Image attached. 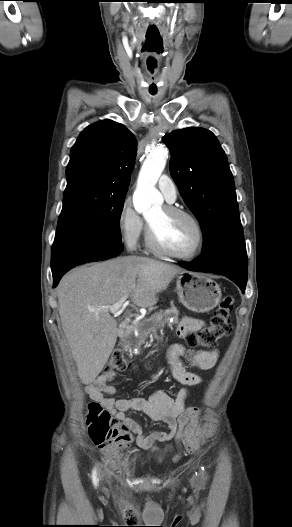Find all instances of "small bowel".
<instances>
[{
    "instance_id": "obj_1",
    "label": "small bowel",
    "mask_w": 292,
    "mask_h": 527,
    "mask_svg": "<svg viewBox=\"0 0 292 527\" xmlns=\"http://www.w3.org/2000/svg\"><path fill=\"white\" fill-rule=\"evenodd\" d=\"M204 322L193 318L184 317L177 329V336L183 338L187 333L196 331ZM185 357L189 363L200 369L213 368L218 360V351H189L181 344H173L167 353L168 364L172 377L179 383L192 387L201 383V377L187 371L180 358ZM115 377L114 372H105L97 380L87 386L89 395L99 400L110 413L135 434L137 445L145 450L154 449L156 442L174 440L178 447H184L189 452L196 451L205 439V429L199 419L200 411L197 408H186L185 402L189 391L184 388L173 398L163 391H157L149 398L131 397L118 398L112 396L116 387L109 384ZM127 411L142 412L156 422L167 424L169 431L150 430L145 432L136 420L127 417Z\"/></svg>"
}]
</instances>
